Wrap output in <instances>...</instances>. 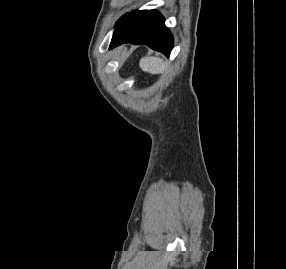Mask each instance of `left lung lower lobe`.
Masks as SVG:
<instances>
[{"label":"left lung lower lobe","mask_w":286,"mask_h":269,"mask_svg":"<svg viewBox=\"0 0 286 269\" xmlns=\"http://www.w3.org/2000/svg\"><path fill=\"white\" fill-rule=\"evenodd\" d=\"M128 42L146 44L167 56L173 47L163 17L154 10L134 11L123 18L116 25L109 49Z\"/></svg>","instance_id":"1"}]
</instances>
